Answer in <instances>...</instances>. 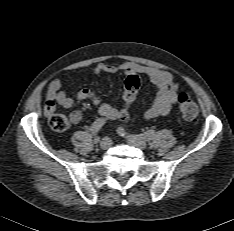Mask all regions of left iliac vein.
I'll return each instance as SVG.
<instances>
[{
  "mask_svg": "<svg viewBox=\"0 0 234 231\" xmlns=\"http://www.w3.org/2000/svg\"><path fill=\"white\" fill-rule=\"evenodd\" d=\"M127 142L139 149H146L147 148V144L146 142L142 141V140H139V139H132V138H128L127 139Z\"/></svg>",
  "mask_w": 234,
  "mask_h": 231,
  "instance_id": "left-iliac-vein-1",
  "label": "left iliac vein"
}]
</instances>
